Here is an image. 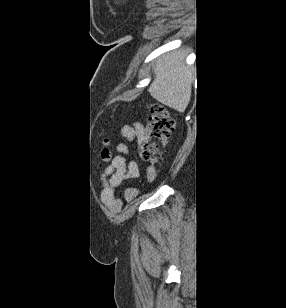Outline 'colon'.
Returning a JSON list of instances; mask_svg holds the SVG:
<instances>
[{"label": "colon", "instance_id": "colon-1", "mask_svg": "<svg viewBox=\"0 0 286 308\" xmlns=\"http://www.w3.org/2000/svg\"><path fill=\"white\" fill-rule=\"evenodd\" d=\"M174 129L175 121L168 110L160 104L152 105L147 127L138 146L142 159L151 164L155 163ZM104 144H108L107 139L104 140ZM100 156L103 161L108 160L110 158L109 149L103 148Z\"/></svg>", "mask_w": 286, "mask_h": 308}]
</instances>
